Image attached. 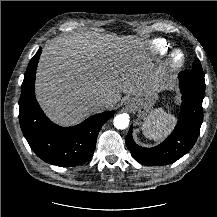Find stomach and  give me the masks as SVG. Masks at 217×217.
<instances>
[{
  "mask_svg": "<svg viewBox=\"0 0 217 217\" xmlns=\"http://www.w3.org/2000/svg\"><path fill=\"white\" fill-rule=\"evenodd\" d=\"M156 100V92H145L141 95L128 98L127 103L137 112L139 118L146 119L152 111Z\"/></svg>",
  "mask_w": 217,
  "mask_h": 217,
  "instance_id": "0dacf381",
  "label": "stomach"
}]
</instances>
